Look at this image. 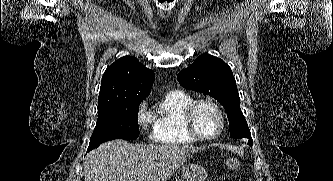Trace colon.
I'll use <instances>...</instances> for the list:
<instances>
[{
    "label": "colon",
    "mask_w": 333,
    "mask_h": 181,
    "mask_svg": "<svg viewBox=\"0 0 333 181\" xmlns=\"http://www.w3.org/2000/svg\"><path fill=\"white\" fill-rule=\"evenodd\" d=\"M225 166L229 171H235L240 167V160L237 157H230L227 159Z\"/></svg>",
    "instance_id": "colon-1"
}]
</instances>
